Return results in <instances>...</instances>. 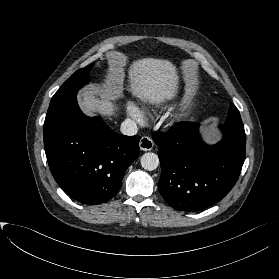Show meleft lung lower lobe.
<instances>
[{"mask_svg": "<svg viewBox=\"0 0 279 279\" xmlns=\"http://www.w3.org/2000/svg\"><path fill=\"white\" fill-rule=\"evenodd\" d=\"M223 139L205 144L199 124L179 122L168 132L153 133L161 163L159 192L179 211L206 209L225 197L235 185L244 160V131L220 125Z\"/></svg>", "mask_w": 279, "mask_h": 279, "instance_id": "0a47b994", "label": "left lung lower lobe"}]
</instances>
